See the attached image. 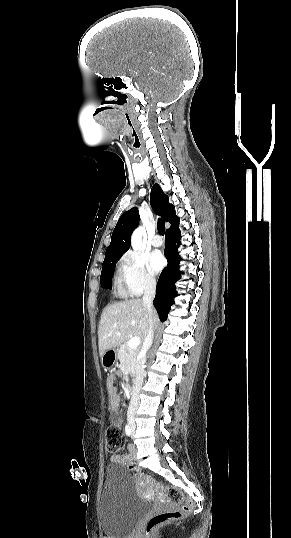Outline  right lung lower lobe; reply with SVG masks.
Returning <instances> with one entry per match:
<instances>
[{
    "label": "right lung lower lobe",
    "mask_w": 291,
    "mask_h": 538,
    "mask_svg": "<svg viewBox=\"0 0 291 538\" xmlns=\"http://www.w3.org/2000/svg\"><path fill=\"white\" fill-rule=\"evenodd\" d=\"M180 238L178 226L166 231L164 254L168 260V265L160 274L153 301L161 320L167 319L170 307L174 304V297L177 296L175 283L180 279L181 274L178 269L180 258L177 252V248L180 245Z\"/></svg>",
    "instance_id": "1"
}]
</instances>
